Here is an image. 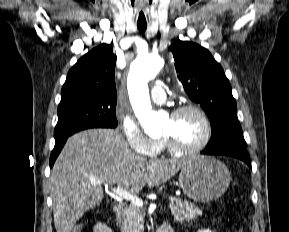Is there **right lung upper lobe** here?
Segmentation results:
<instances>
[{
    "instance_id": "cb5924a9",
    "label": "right lung upper lobe",
    "mask_w": 289,
    "mask_h": 232,
    "mask_svg": "<svg viewBox=\"0 0 289 232\" xmlns=\"http://www.w3.org/2000/svg\"><path fill=\"white\" fill-rule=\"evenodd\" d=\"M115 62L116 55L108 44H101L84 55L68 72L60 104L91 96L117 100Z\"/></svg>"
}]
</instances>
